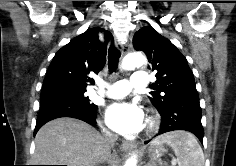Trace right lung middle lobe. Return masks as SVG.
<instances>
[{"label": "right lung middle lobe", "mask_w": 236, "mask_h": 166, "mask_svg": "<svg viewBox=\"0 0 236 166\" xmlns=\"http://www.w3.org/2000/svg\"><path fill=\"white\" fill-rule=\"evenodd\" d=\"M86 89L67 86H54L42 89L40 111H53L65 108H83L96 111L95 104L85 96Z\"/></svg>", "instance_id": "1"}]
</instances>
